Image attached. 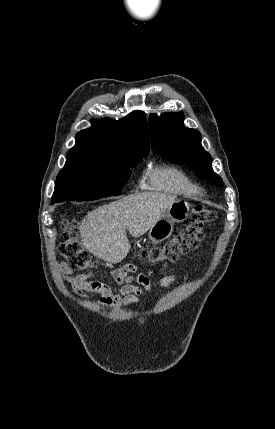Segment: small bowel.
I'll return each instance as SVG.
<instances>
[{
	"label": "small bowel",
	"instance_id": "1",
	"mask_svg": "<svg viewBox=\"0 0 275 429\" xmlns=\"http://www.w3.org/2000/svg\"><path fill=\"white\" fill-rule=\"evenodd\" d=\"M61 269L65 272L64 279L71 284L78 296L84 298L86 291L99 293L102 304L112 308L139 304L140 297L150 290L153 276L152 273L136 274L138 267L134 264H126L114 272L113 277L118 284V292L113 293L109 285L101 280L92 279L91 274L72 275L64 265ZM174 280L175 276L171 273L164 276L160 283L162 286H168Z\"/></svg>",
	"mask_w": 275,
	"mask_h": 429
}]
</instances>
